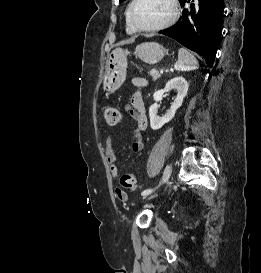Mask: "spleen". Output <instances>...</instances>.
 Here are the masks:
<instances>
[{"mask_svg":"<svg viewBox=\"0 0 261 273\" xmlns=\"http://www.w3.org/2000/svg\"><path fill=\"white\" fill-rule=\"evenodd\" d=\"M174 68L177 71H192L198 69V61L195 56L185 48H180L178 51V61Z\"/></svg>","mask_w":261,"mask_h":273,"instance_id":"1","label":"spleen"}]
</instances>
